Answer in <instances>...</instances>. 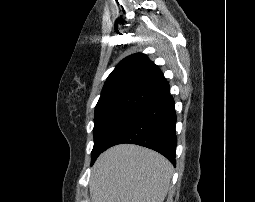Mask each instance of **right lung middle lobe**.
<instances>
[{
  "label": "right lung middle lobe",
  "instance_id": "right-lung-middle-lobe-1",
  "mask_svg": "<svg viewBox=\"0 0 255 202\" xmlns=\"http://www.w3.org/2000/svg\"><path fill=\"white\" fill-rule=\"evenodd\" d=\"M136 111L120 110L99 115L94 118V147L91 153V164L102 153L114 134L135 115Z\"/></svg>",
  "mask_w": 255,
  "mask_h": 202
}]
</instances>
